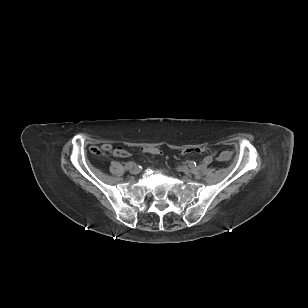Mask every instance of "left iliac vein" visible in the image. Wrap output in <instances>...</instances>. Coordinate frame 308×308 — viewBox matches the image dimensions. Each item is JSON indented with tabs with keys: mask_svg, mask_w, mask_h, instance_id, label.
Here are the masks:
<instances>
[{
	"mask_svg": "<svg viewBox=\"0 0 308 308\" xmlns=\"http://www.w3.org/2000/svg\"><path fill=\"white\" fill-rule=\"evenodd\" d=\"M177 170L185 174H189L191 172V170L186 166H178Z\"/></svg>",
	"mask_w": 308,
	"mask_h": 308,
	"instance_id": "1",
	"label": "left iliac vein"
}]
</instances>
